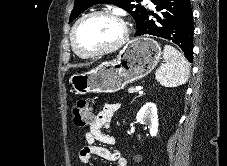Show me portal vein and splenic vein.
<instances>
[{
	"instance_id": "1",
	"label": "portal vein and splenic vein",
	"mask_w": 227,
	"mask_h": 166,
	"mask_svg": "<svg viewBox=\"0 0 227 166\" xmlns=\"http://www.w3.org/2000/svg\"><path fill=\"white\" fill-rule=\"evenodd\" d=\"M141 89H142L141 86H137V87L135 88V92L141 91Z\"/></svg>"
}]
</instances>
